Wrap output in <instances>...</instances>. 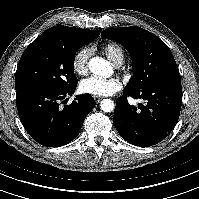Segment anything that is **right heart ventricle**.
<instances>
[{"label":"right heart ventricle","instance_id":"right-heart-ventricle-1","mask_svg":"<svg viewBox=\"0 0 199 199\" xmlns=\"http://www.w3.org/2000/svg\"><path fill=\"white\" fill-rule=\"evenodd\" d=\"M101 51L115 66L121 65L124 62V50L117 43H107L101 48Z\"/></svg>","mask_w":199,"mask_h":199}]
</instances>
